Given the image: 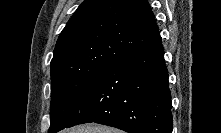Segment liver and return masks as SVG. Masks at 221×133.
I'll return each mask as SVG.
<instances>
[{
	"label": "liver",
	"mask_w": 221,
	"mask_h": 133,
	"mask_svg": "<svg viewBox=\"0 0 221 133\" xmlns=\"http://www.w3.org/2000/svg\"><path fill=\"white\" fill-rule=\"evenodd\" d=\"M65 133H121L117 129H113L110 127L102 126V125H79L72 129L65 130Z\"/></svg>",
	"instance_id": "6515ba94"
}]
</instances>
